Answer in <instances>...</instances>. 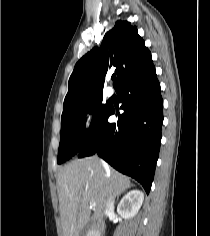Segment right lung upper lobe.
Wrapping results in <instances>:
<instances>
[{
	"label": "right lung upper lobe",
	"instance_id": "right-lung-upper-lobe-1",
	"mask_svg": "<svg viewBox=\"0 0 210 236\" xmlns=\"http://www.w3.org/2000/svg\"><path fill=\"white\" fill-rule=\"evenodd\" d=\"M152 62L151 53L138 35L137 28L127 21H117L108 31L101 46L93 48L75 65L69 78L63 113L81 107L87 101L102 96L104 77L109 67H115L114 87L140 72Z\"/></svg>",
	"mask_w": 210,
	"mask_h": 236
}]
</instances>
